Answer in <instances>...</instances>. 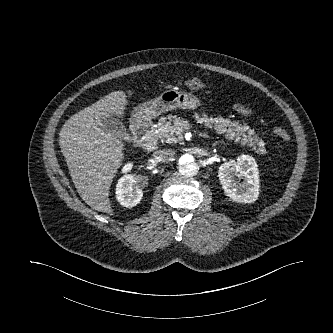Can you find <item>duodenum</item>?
Instances as JSON below:
<instances>
[{
  "label": "duodenum",
  "mask_w": 333,
  "mask_h": 333,
  "mask_svg": "<svg viewBox=\"0 0 333 333\" xmlns=\"http://www.w3.org/2000/svg\"><path fill=\"white\" fill-rule=\"evenodd\" d=\"M135 142L146 150H154L157 147V136L152 120L147 114H142L135 119L132 125Z\"/></svg>",
  "instance_id": "duodenum-1"
}]
</instances>
